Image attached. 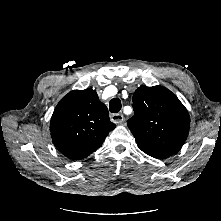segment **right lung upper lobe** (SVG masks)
<instances>
[{
  "label": "right lung upper lobe",
  "mask_w": 221,
  "mask_h": 221,
  "mask_svg": "<svg viewBox=\"0 0 221 221\" xmlns=\"http://www.w3.org/2000/svg\"><path fill=\"white\" fill-rule=\"evenodd\" d=\"M115 127L107 107L89 88L69 92L56 106L50 122L56 148L72 160L97 150Z\"/></svg>",
  "instance_id": "1"
}]
</instances>
